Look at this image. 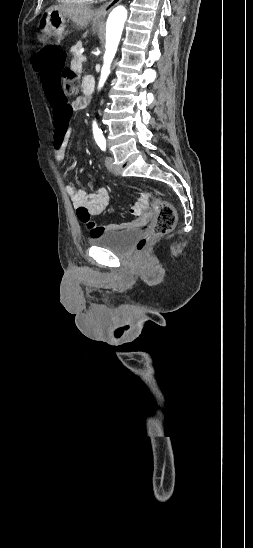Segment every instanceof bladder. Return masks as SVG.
<instances>
[{
  "label": "bladder",
  "mask_w": 253,
  "mask_h": 548,
  "mask_svg": "<svg viewBox=\"0 0 253 548\" xmlns=\"http://www.w3.org/2000/svg\"><path fill=\"white\" fill-rule=\"evenodd\" d=\"M141 234L142 231L138 228L110 231L98 236H92L89 239V243L92 246L106 248L115 254H126L131 250Z\"/></svg>",
  "instance_id": "1"
}]
</instances>
